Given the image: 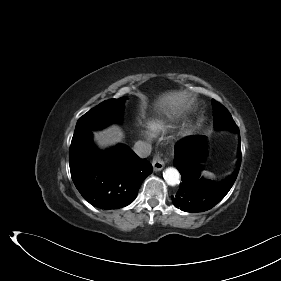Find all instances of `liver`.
I'll return each instance as SVG.
<instances>
[{"label":"liver","mask_w":281,"mask_h":281,"mask_svg":"<svg viewBox=\"0 0 281 281\" xmlns=\"http://www.w3.org/2000/svg\"><path fill=\"white\" fill-rule=\"evenodd\" d=\"M189 96L187 92H169L161 95L155 103V107L168 117L178 115L187 107ZM122 130L112 125L102 131L94 133V140L100 148L119 143L123 140Z\"/></svg>","instance_id":"1"}]
</instances>
